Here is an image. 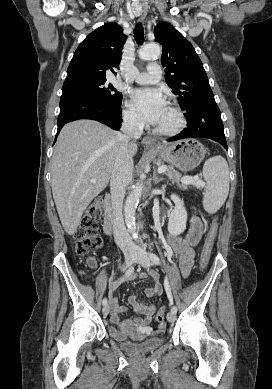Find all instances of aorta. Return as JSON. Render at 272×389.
Listing matches in <instances>:
<instances>
[{
	"mask_svg": "<svg viewBox=\"0 0 272 389\" xmlns=\"http://www.w3.org/2000/svg\"><path fill=\"white\" fill-rule=\"evenodd\" d=\"M161 55V47L156 43H149L144 45L139 50V57L142 60H151L154 58H158ZM143 182L140 181L136 184L134 189L128 195L125 206H124V216L125 223L128 228V231L132 234L134 238L137 237L136 234V225H135V212L138 206L140 197L143 191Z\"/></svg>",
	"mask_w": 272,
	"mask_h": 389,
	"instance_id": "762f6f07",
	"label": "aorta"
}]
</instances>
